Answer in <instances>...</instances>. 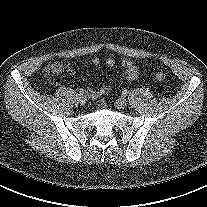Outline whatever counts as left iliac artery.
I'll list each match as a JSON object with an SVG mask.
<instances>
[{
    "label": "left iliac artery",
    "instance_id": "44dca946",
    "mask_svg": "<svg viewBox=\"0 0 207 207\" xmlns=\"http://www.w3.org/2000/svg\"><path fill=\"white\" fill-rule=\"evenodd\" d=\"M128 92H129V91H128L127 89H123V91H122V95H123V96H126V95L128 94Z\"/></svg>",
    "mask_w": 207,
    "mask_h": 207
}]
</instances>
